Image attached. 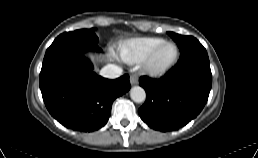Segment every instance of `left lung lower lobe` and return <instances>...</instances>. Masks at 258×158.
<instances>
[{
	"label": "left lung lower lobe",
	"mask_w": 258,
	"mask_h": 158,
	"mask_svg": "<svg viewBox=\"0 0 258 158\" xmlns=\"http://www.w3.org/2000/svg\"><path fill=\"white\" fill-rule=\"evenodd\" d=\"M146 102L138 113L151 128L162 132L185 126L203 109L212 86L210 62L199 41L181 52L178 63L162 78H140Z\"/></svg>",
	"instance_id": "0a47b994"
}]
</instances>
